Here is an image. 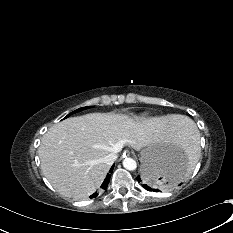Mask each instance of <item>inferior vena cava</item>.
Segmentation results:
<instances>
[{
    "instance_id": "602c4592",
    "label": "inferior vena cava",
    "mask_w": 233,
    "mask_h": 233,
    "mask_svg": "<svg viewBox=\"0 0 233 233\" xmlns=\"http://www.w3.org/2000/svg\"><path fill=\"white\" fill-rule=\"evenodd\" d=\"M116 159H117L116 152H112V153H109L107 156H105L104 162L110 166L116 161Z\"/></svg>"
}]
</instances>
